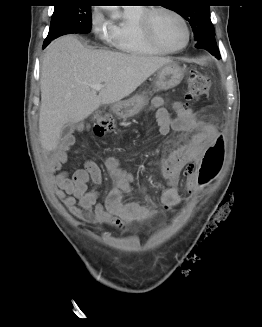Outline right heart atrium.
Instances as JSON below:
<instances>
[{"label":"right heart atrium","instance_id":"1","mask_svg":"<svg viewBox=\"0 0 262 327\" xmlns=\"http://www.w3.org/2000/svg\"><path fill=\"white\" fill-rule=\"evenodd\" d=\"M91 27L93 31L101 38L107 39L110 37V29L107 23L99 12H93L91 15Z\"/></svg>","mask_w":262,"mask_h":327}]
</instances>
